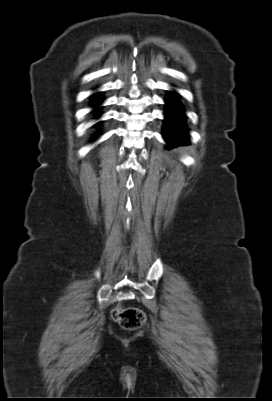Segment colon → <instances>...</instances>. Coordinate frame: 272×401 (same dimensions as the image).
I'll return each mask as SVG.
<instances>
[{
	"mask_svg": "<svg viewBox=\"0 0 272 401\" xmlns=\"http://www.w3.org/2000/svg\"><path fill=\"white\" fill-rule=\"evenodd\" d=\"M112 318L123 328L133 330L145 322L144 312L136 307L116 306L111 311Z\"/></svg>",
	"mask_w": 272,
	"mask_h": 401,
	"instance_id": "colon-1",
	"label": "colon"
}]
</instances>
